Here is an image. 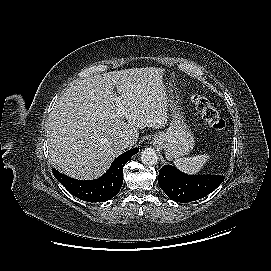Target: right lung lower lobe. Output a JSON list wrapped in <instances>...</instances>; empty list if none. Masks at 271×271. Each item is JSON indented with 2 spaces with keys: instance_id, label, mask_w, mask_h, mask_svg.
I'll return each instance as SVG.
<instances>
[{
  "instance_id": "98d812e1",
  "label": "right lung lower lobe",
  "mask_w": 271,
  "mask_h": 271,
  "mask_svg": "<svg viewBox=\"0 0 271 271\" xmlns=\"http://www.w3.org/2000/svg\"><path fill=\"white\" fill-rule=\"evenodd\" d=\"M138 152L137 148L119 155L108 171L95 180H77L53 169L56 179L75 197L87 202H104L116 196L123 184V167Z\"/></svg>"
}]
</instances>
